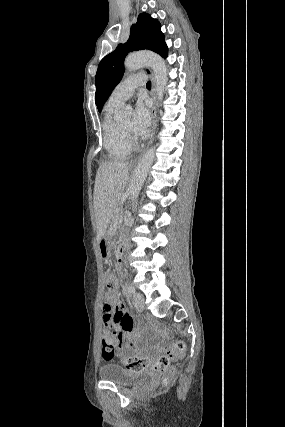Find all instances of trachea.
Masks as SVG:
<instances>
[{
    "label": "trachea",
    "instance_id": "obj_1",
    "mask_svg": "<svg viewBox=\"0 0 285 427\" xmlns=\"http://www.w3.org/2000/svg\"><path fill=\"white\" fill-rule=\"evenodd\" d=\"M146 87H147L148 89H151V81H148V82H147Z\"/></svg>",
    "mask_w": 285,
    "mask_h": 427
}]
</instances>
